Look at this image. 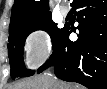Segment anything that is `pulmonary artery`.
<instances>
[{
  "label": "pulmonary artery",
  "mask_w": 107,
  "mask_h": 89,
  "mask_svg": "<svg viewBox=\"0 0 107 89\" xmlns=\"http://www.w3.org/2000/svg\"><path fill=\"white\" fill-rule=\"evenodd\" d=\"M60 13H61V15H62L63 17H66V16L68 15V13H69V9H68L67 7H65V6H63V7H61V9H60Z\"/></svg>",
  "instance_id": "obj_1"
}]
</instances>
